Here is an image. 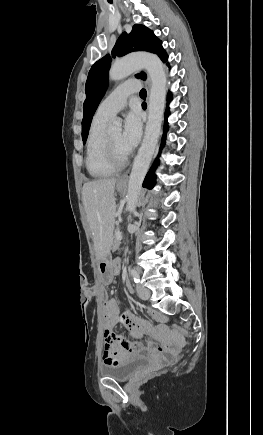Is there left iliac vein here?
I'll use <instances>...</instances> for the list:
<instances>
[{
  "instance_id": "obj_1",
  "label": "left iliac vein",
  "mask_w": 263,
  "mask_h": 435,
  "mask_svg": "<svg viewBox=\"0 0 263 435\" xmlns=\"http://www.w3.org/2000/svg\"><path fill=\"white\" fill-rule=\"evenodd\" d=\"M137 292L142 300H148L150 298V291L141 285H137Z\"/></svg>"
}]
</instances>
